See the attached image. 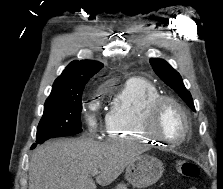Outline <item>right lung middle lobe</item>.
I'll return each mask as SVG.
<instances>
[{
	"instance_id": "obj_1",
	"label": "right lung middle lobe",
	"mask_w": 223,
	"mask_h": 189,
	"mask_svg": "<svg viewBox=\"0 0 223 189\" xmlns=\"http://www.w3.org/2000/svg\"><path fill=\"white\" fill-rule=\"evenodd\" d=\"M82 91L71 95H50L39 122L36 143L53 137L75 135L82 132Z\"/></svg>"
}]
</instances>
